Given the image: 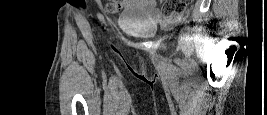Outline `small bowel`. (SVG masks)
<instances>
[{
  "label": "small bowel",
  "instance_id": "obj_1",
  "mask_svg": "<svg viewBox=\"0 0 267 115\" xmlns=\"http://www.w3.org/2000/svg\"><path fill=\"white\" fill-rule=\"evenodd\" d=\"M126 7L128 8H141L146 10L151 17L155 19L160 18V13L157 8L158 1L157 0H127L125 1Z\"/></svg>",
  "mask_w": 267,
  "mask_h": 115
}]
</instances>
